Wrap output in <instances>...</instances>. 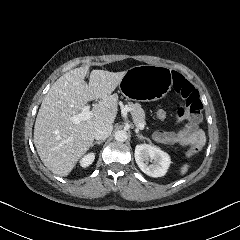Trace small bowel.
<instances>
[{
	"instance_id": "1",
	"label": "small bowel",
	"mask_w": 240,
	"mask_h": 240,
	"mask_svg": "<svg viewBox=\"0 0 240 240\" xmlns=\"http://www.w3.org/2000/svg\"><path fill=\"white\" fill-rule=\"evenodd\" d=\"M186 120L184 115H177L176 121ZM199 124L187 123L177 131L159 130L154 133V139L162 144H178L187 147L188 150H200L205 143L206 137Z\"/></svg>"
}]
</instances>
